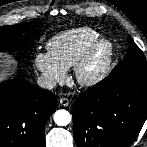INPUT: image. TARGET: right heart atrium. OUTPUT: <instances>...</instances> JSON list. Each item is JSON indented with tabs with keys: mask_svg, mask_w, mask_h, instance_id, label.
<instances>
[{
	"mask_svg": "<svg viewBox=\"0 0 147 147\" xmlns=\"http://www.w3.org/2000/svg\"><path fill=\"white\" fill-rule=\"evenodd\" d=\"M36 70L41 74L43 81L53 86L65 80L67 70L59 64L49 53H38L34 58Z\"/></svg>",
	"mask_w": 147,
	"mask_h": 147,
	"instance_id": "d8ad5b80",
	"label": "right heart atrium"
}]
</instances>
